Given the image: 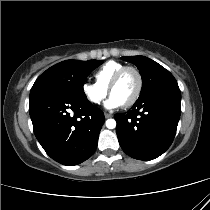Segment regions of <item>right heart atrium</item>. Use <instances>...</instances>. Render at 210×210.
<instances>
[{
	"label": "right heart atrium",
	"mask_w": 210,
	"mask_h": 210,
	"mask_svg": "<svg viewBox=\"0 0 210 210\" xmlns=\"http://www.w3.org/2000/svg\"><path fill=\"white\" fill-rule=\"evenodd\" d=\"M81 91L86 100L93 105H99L107 95V89L87 81L83 82Z\"/></svg>",
	"instance_id": "1"
}]
</instances>
